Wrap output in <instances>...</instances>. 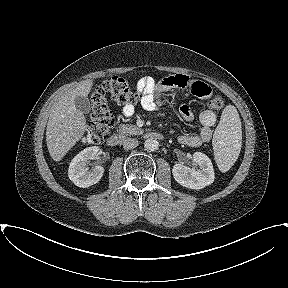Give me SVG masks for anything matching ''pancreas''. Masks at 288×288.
Here are the masks:
<instances>
[{"mask_svg": "<svg viewBox=\"0 0 288 288\" xmlns=\"http://www.w3.org/2000/svg\"><path fill=\"white\" fill-rule=\"evenodd\" d=\"M143 130L132 124H121L119 126V133L122 135H137L142 133Z\"/></svg>", "mask_w": 288, "mask_h": 288, "instance_id": "cf45deb5", "label": "pancreas"}]
</instances>
